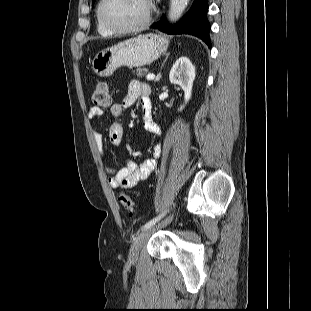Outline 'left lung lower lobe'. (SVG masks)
<instances>
[{
	"instance_id": "0a47b994",
	"label": "left lung lower lobe",
	"mask_w": 311,
	"mask_h": 311,
	"mask_svg": "<svg viewBox=\"0 0 311 311\" xmlns=\"http://www.w3.org/2000/svg\"><path fill=\"white\" fill-rule=\"evenodd\" d=\"M208 11L207 0H194L191 9L184 16L181 23L172 28L165 27L164 17L156 27L168 34H190L202 39L208 46H211L209 38L210 24L207 21Z\"/></svg>"
}]
</instances>
